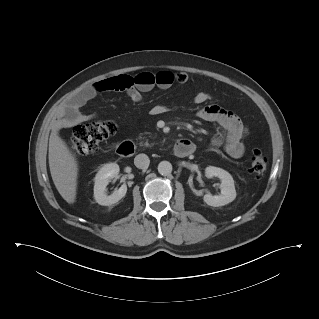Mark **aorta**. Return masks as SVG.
Wrapping results in <instances>:
<instances>
[{"mask_svg":"<svg viewBox=\"0 0 319 319\" xmlns=\"http://www.w3.org/2000/svg\"><path fill=\"white\" fill-rule=\"evenodd\" d=\"M158 172L163 176L171 174L172 164L168 161H161L158 165Z\"/></svg>","mask_w":319,"mask_h":319,"instance_id":"obj_1","label":"aorta"}]
</instances>
